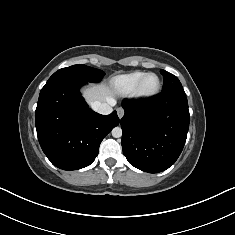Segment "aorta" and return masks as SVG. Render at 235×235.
Wrapping results in <instances>:
<instances>
[{
    "instance_id": "762f6f07",
    "label": "aorta",
    "mask_w": 235,
    "mask_h": 235,
    "mask_svg": "<svg viewBox=\"0 0 235 235\" xmlns=\"http://www.w3.org/2000/svg\"><path fill=\"white\" fill-rule=\"evenodd\" d=\"M112 136L114 138H119L122 136V129L121 127H115L112 129Z\"/></svg>"
}]
</instances>
